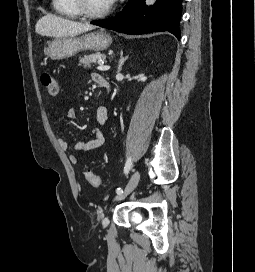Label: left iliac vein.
I'll list each match as a JSON object with an SVG mask.
<instances>
[{
  "instance_id": "4c4485c4",
  "label": "left iliac vein",
  "mask_w": 255,
  "mask_h": 272,
  "mask_svg": "<svg viewBox=\"0 0 255 272\" xmlns=\"http://www.w3.org/2000/svg\"><path fill=\"white\" fill-rule=\"evenodd\" d=\"M140 179V174L138 171H135L133 175L131 176L127 186L124 189L123 194L117 193L115 200H121L128 194H130L137 186Z\"/></svg>"
}]
</instances>
